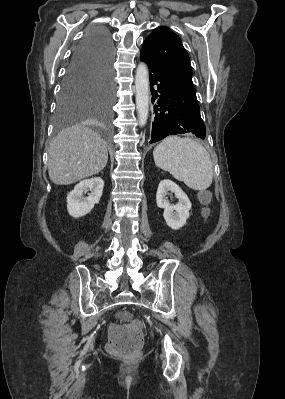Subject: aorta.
<instances>
[{"mask_svg":"<svg viewBox=\"0 0 285 399\" xmlns=\"http://www.w3.org/2000/svg\"><path fill=\"white\" fill-rule=\"evenodd\" d=\"M136 109L139 125L146 124L149 114V75L145 63H139L135 76Z\"/></svg>","mask_w":285,"mask_h":399,"instance_id":"obj_1","label":"aorta"}]
</instances>
